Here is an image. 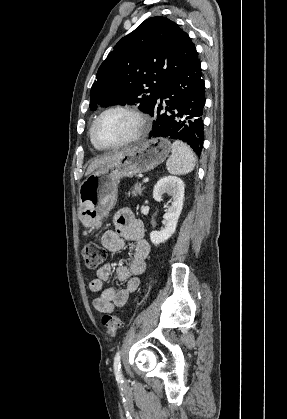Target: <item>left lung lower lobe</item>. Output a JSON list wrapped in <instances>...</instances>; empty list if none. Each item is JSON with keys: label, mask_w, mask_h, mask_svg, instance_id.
<instances>
[{"label": "left lung lower lobe", "mask_w": 287, "mask_h": 419, "mask_svg": "<svg viewBox=\"0 0 287 419\" xmlns=\"http://www.w3.org/2000/svg\"><path fill=\"white\" fill-rule=\"evenodd\" d=\"M161 99V103H159ZM162 99H165L166 112ZM205 86L199 59L193 61L159 90L149 115L154 118L149 139L165 137L186 142L200 156L203 147Z\"/></svg>", "instance_id": "1"}]
</instances>
